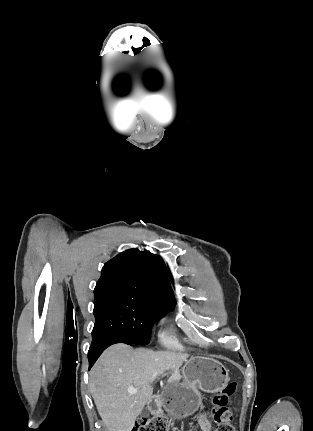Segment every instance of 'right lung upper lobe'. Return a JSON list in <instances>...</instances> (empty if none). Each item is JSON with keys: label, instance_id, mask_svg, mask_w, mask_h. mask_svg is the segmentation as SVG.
<instances>
[{"label": "right lung upper lobe", "instance_id": "obj_1", "mask_svg": "<svg viewBox=\"0 0 313 431\" xmlns=\"http://www.w3.org/2000/svg\"><path fill=\"white\" fill-rule=\"evenodd\" d=\"M115 292L148 300L156 305H175L163 259L148 251L130 249L105 263L94 296Z\"/></svg>", "mask_w": 313, "mask_h": 431}]
</instances>
